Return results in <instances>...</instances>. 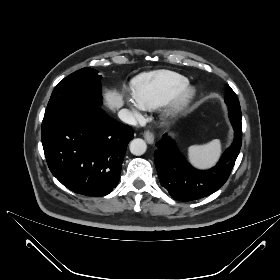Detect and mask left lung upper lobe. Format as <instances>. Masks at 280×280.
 <instances>
[{"label": "left lung upper lobe", "instance_id": "left-lung-upper-lobe-1", "mask_svg": "<svg viewBox=\"0 0 280 280\" xmlns=\"http://www.w3.org/2000/svg\"><path fill=\"white\" fill-rule=\"evenodd\" d=\"M226 89L225 103L229 107V115L235 113L237 116L241 117V108L235 92L228 85L226 86Z\"/></svg>", "mask_w": 280, "mask_h": 280}]
</instances>
